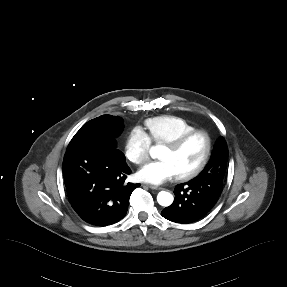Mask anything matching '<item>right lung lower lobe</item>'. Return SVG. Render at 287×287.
<instances>
[{"label":"right lung lower lobe","mask_w":287,"mask_h":287,"mask_svg":"<svg viewBox=\"0 0 287 287\" xmlns=\"http://www.w3.org/2000/svg\"><path fill=\"white\" fill-rule=\"evenodd\" d=\"M131 173L124 154L104 146L67 148L63 177L68 200L85 222L107 226L127 213L130 195L140 184L126 183Z\"/></svg>","instance_id":"98d812e1"}]
</instances>
